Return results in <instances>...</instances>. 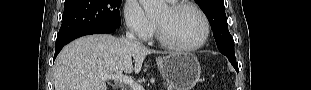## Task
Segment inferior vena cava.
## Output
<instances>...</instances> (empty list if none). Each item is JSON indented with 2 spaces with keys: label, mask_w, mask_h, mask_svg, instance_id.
<instances>
[{
  "label": "inferior vena cava",
  "mask_w": 311,
  "mask_h": 90,
  "mask_svg": "<svg viewBox=\"0 0 311 90\" xmlns=\"http://www.w3.org/2000/svg\"><path fill=\"white\" fill-rule=\"evenodd\" d=\"M126 38L132 41H128L126 43V46L131 50L134 51L136 48H138L140 46V43L138 41H136V38L134 36V34L130 31H128L126 33Z\"/></svg>",
  "instance_id": "1"
}]
</instances>
